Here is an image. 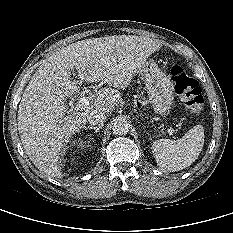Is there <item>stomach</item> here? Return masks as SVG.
I'll return each mask as SVG.
<instances>
[{"label": "stomach", "instance_id": "stomach-1", "mask_svg": "<svg viewBox=\"0 0 233 233\" xmlns=\"http://www.w3.org/2000/svg\"><path fill=\"white\" fill-rule=\"evenodd\" d=\"M140 73L144 76L149 103L157 114L166 116L170 112L174 99L173 86L170 79L156 62L150 58L140 69Z\"/></svg>", "mask_w": 233, "mask_h": 233}]
</instances>
